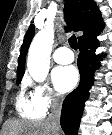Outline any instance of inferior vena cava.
<instances>
[{"instance_id":"602c4592","label":"inferior vena cava","mask_w":112,"mask_h":135,"mask_svg":"<svg viewBox=\"0 0 112 135\" xmlns=\"http://www.w3.org/2000/svg\"><path fill=\"white\" fill-rule=\"evenodd\" d=\"M61 107V100L58 98H53L51 105V113L49 114L47 121L51 124L54 135H59L60 132Z\"/></svg>"}]
</instances>
